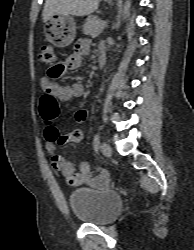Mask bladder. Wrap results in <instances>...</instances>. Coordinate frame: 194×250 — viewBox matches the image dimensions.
Here are the masks:
<instances>
[{
    "label": "bladder",
    "mask_w": 194,
    "mask_h": 250,
    "mask_svg": "<svg viewBox=\"0 0 194 250\" xmlns=\"http://www.w3.org/2000/svg\"><path fill=\"white\" fill-rule=\"evenodd\" d=\"M68 202L79 221L95 225L110 223L122 209V199L118 193L88 187L71 191Z\"/></svg>",
    "instance_id": "bladder-1"
}]
</instances>
